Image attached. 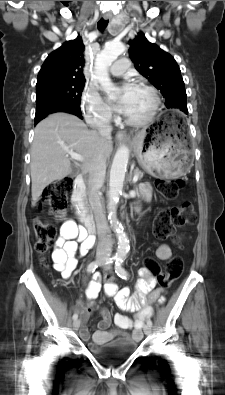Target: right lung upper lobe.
<instances>
[{
  "mask_svg": "<svg viewBox=\"0 0 225 395\" xmlns=\"http://www.w3.org/2000/svg\"><path fill=\"white\" fill-rule=\"evenodd\" d=\"M84 44L80 36L65 42L61 47L48 55L37 78V84L53 81L85 80Z\"/></svg>",
  "mask_w": 225,
  "mask_h": 395,
  "instance_id": "1",
  "label": "right lung upper lobe"
}]
</instances>
